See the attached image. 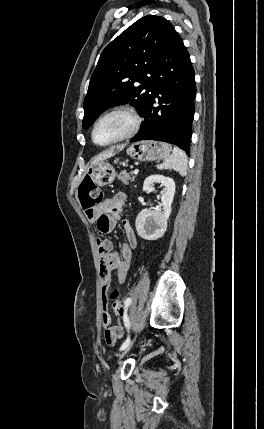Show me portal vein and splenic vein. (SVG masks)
I'll return each mask as SVG.
<instances>
[{
    "mask_svg": "<svg viewBox=\"0 0 264 429\" xmlns=\"http://www.w3.org/2000/svg\"><path fill=\"white\" fill-rule=\"evenodd\" d=\"M133 173H134V175H137L139 173V170L135 169Z\"/></svg>",
    "mask_w": 264,
    "mask_h": 429,
    "instance_id": "18ae733b",
    "label": "portal vein and splenic vein"
}]
</instances>
